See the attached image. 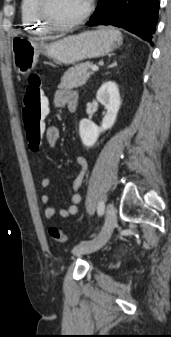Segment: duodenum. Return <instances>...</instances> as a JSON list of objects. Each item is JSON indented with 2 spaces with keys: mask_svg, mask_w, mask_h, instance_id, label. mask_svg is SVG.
<instances>
[{
  "mask_svg": "<svg viewBox=\"0 0 171 337\" xmlns=\"http://www.w3.org/2000/svg\"><path fill=\"white\" fill-rule=\"evenodd\" d=\"M75 109V106H70V111H74Z\"/></svg>",
  "mask_w": 171,
  "mask_h": 337,
  "instance_id": "obj_1",
  "label": "duodenum"
}]
</instances>
